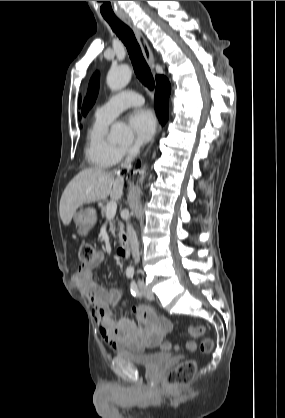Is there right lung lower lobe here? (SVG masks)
<instances>
[{"instance_id":"98d812e1","label":"right lung lower lobe","mask_w":285,"mask_h":418,"mask_svg":"<svg viewBox=\"0 0 285 418\" xmlns=\"http://www.w3.org/2000/svg\"><path fill=\"white\" fill-rule=\"evenodd\" d=\"M171 86L165 76L156 77L155 104L158 119L162 125L168 120V100Z\"/></svg>"}]
</instances>
